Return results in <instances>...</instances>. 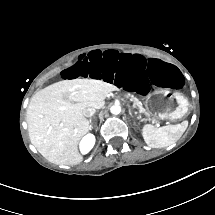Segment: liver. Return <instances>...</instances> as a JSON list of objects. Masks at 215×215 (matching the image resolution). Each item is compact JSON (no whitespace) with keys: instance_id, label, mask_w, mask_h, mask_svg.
<instances>
[{"instance_id":"1","label":"liver","mask_w":215,"mask_h":215,"mask_svg":"<svg viewBox=\"0 0 215 215\" xmlns=\"http://www.w3.org/2000/svg\"><path fill=\"white\" fill-rule=\"evenodd\" d=\"M113 90L117 88L112 84L87 78L62 80L39 90L27 108L31 143L55 164H79L77 143L89 129L83 109L102 108Z\"/></svg>"}]
</instances>
